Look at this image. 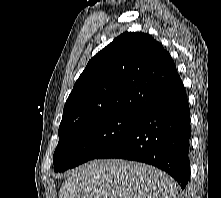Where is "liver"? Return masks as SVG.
Returning a JSON list of instances; mask_svg holds the SVG:
<instances>
[{"instance_id":"6515ba94","label":"liver","mask_w":221,"mask_h":198,"mask_svg":"<svg viewBox=\"0 0 221 198\" xmlns=\"http://www.w3.org/2000/svg\"><path fill=\"white\" fill-rule=\"evenodd\" d=\"M176 181L144 163L93 160L75 168L59 198H180Z\"/></svg>"}]
</instances>
